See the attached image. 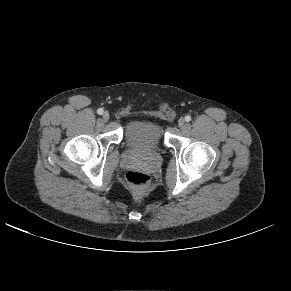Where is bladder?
<instances>
[{"label": "bladder", "mask_w": 291, "mask_h": 291, "mask_svg": "<svg viewBox=\"0 0 291 291\" xmlns=\"http://www.w3.org/2000/svg\"><path fill=\"white\" fill-rule=\"evenodd\" d=\"M127 143L134 147H157L164 137L162 125L152 119L133 120L125 128Z\"/></svg>", "instance_id": "obj_1"}]
</instances>
